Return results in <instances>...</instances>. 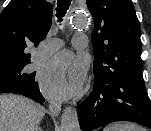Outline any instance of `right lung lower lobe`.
Returning a JSON list of instances; mask_svg holds the SVG:
<instances>
[{
	"label": "right lung lower lobe",
	"mask_w": 151,
	"mask_h": 131,
	"mask_svg": "<svg viewBox=\"0 0 151 131\" xmlns=\"http://www.w3.org/2000/svg\"><path fill=\"white\" fill-rule=\"evenodd\" d=\"M7 92L24 95L39 103L45 101L39 91L37 82L34 80V76L21 80L19 83H7L4 78H0V93Z\"/></svg>",
	"instance_id": "right-lung-lower-lobe-1"
}]
</instances>
